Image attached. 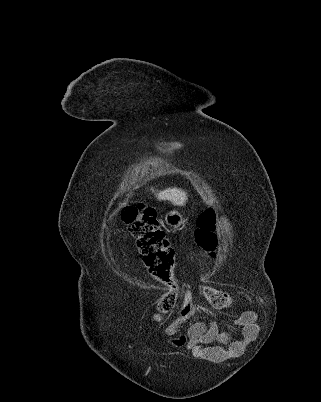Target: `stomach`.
<instances>
[{
    "label": "stomach",
    "mask_w": 321,
    "mask_h": 402,
    "mask_svg": "<svg viewBox=\"0 0 321 402\" xmlns=\"http://www.w3.org/2000/svg\"><path fill=\"white\" fill-rule=\"evenodd\" d=\"M166 224L173 229H178L184 222L182 215L177 211H170L164 216Z\"/></svg>",
    "instance_id": "stomach-1"
}]
</instances>
